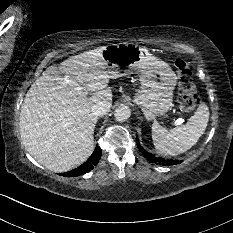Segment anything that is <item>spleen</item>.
I'll return each mask as SVG.
<instances>
[{
	"mask_svg": "<svg viewBox=\"0 0 233 233\" xmlns=\"http://www.w3.org/2000/svg\"><path fill=\"white\" fill-rule=\"evenodd\" d=\"M209 114L208 106L202 103L185 125L169 131L157 121H154L152 124V140L157 152L175 156L189 150L204 134L209 121Z\"/></svg>",
	"mask_w": 233,
	"mask_h": 233,
	"instance_id": "1",
	"label": "spleen"
}]
</instances>
